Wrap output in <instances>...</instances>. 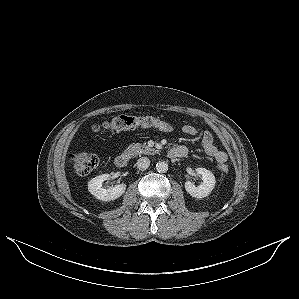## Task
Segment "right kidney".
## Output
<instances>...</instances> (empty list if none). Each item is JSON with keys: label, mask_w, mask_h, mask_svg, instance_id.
I'll return each instance as SVG.
<instances>
[{"label": "right kidney", "mask_w": 299, "mask_h": 299, "mask_svg": "<svg viewBox=\"0 0 299 299\" xmlns=\"http://www.w3.org/2000/svg\"><path fill=\"white\" fill-rule=\"evenodd\" d=\"M109 177V174H102L89 181L88 190L96 199L101 201H111L124 194L126 190V184L124 183L117 184L114 187H109L108 189L102 187V183L109 179Z\"/></svg>", "instance_id": "obj_1"}]
</instances>
